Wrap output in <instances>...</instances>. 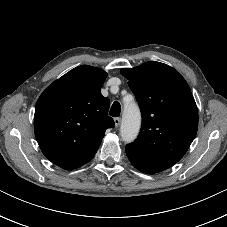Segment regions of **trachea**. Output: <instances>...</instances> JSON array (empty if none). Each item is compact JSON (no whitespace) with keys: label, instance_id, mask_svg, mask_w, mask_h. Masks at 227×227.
<instances>
[{"label":"trachea","instance_id":"obj_1","mask_svg":"<svg viewBox=\"0 0 227 227\" xmlns=\"http://www.w3.org/2000/svg\"><path fill=\"white\" fill-rule=\"evenodd\" d=\"M121 113V105L118 101H115L112 106L109 114L113 117H119Z\"/></svg>","mask_w":227,"mask_h":227}]
</instances>
